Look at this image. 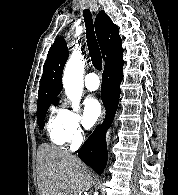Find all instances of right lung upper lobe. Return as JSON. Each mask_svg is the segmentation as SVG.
I'll return each mask as SVG.
<instances>
[{
	"instance_id": "obj_1",
	"label": "right lung upper lobe",
	"mask_w": 178,
	"mask_h": 195,
	"mask_svg": "<svg viewBox=\"0 0 178 195\" xmlns=\"http://www.w3.org/2000/svg\"><path fill=\"white\" fill-rule=\"evenodd\" d=\"M95 30L105 61L104 70L123 65V48L118 27L104 11H100L95 19ZM68 56L69 52L64 38H57L49 49L44 64L37 105L54 101L61 92L62 73Z\"/></svg>"
}]
</instances>
